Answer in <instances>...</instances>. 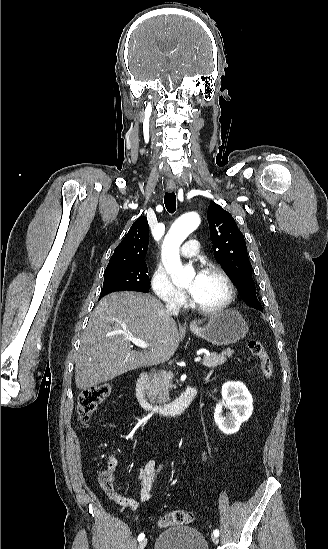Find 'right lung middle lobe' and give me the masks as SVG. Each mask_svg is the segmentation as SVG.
<instances>
[{
	"label": "right lung middle lobe",
	"instance_id": "obj_1",
	"mask_svg": "<svg viewBox=\"0 0 328 549\" xmlns=\"http://www.w3.org/2000/svg\"><path fill=\"white\" fill-rule=\"evenodd\" d=\"M147 272L148 269L145 261L105 271L103 288L99 300L106 294L115 291L147 292L150 289Z\"/></svg>",
	"mask_w": 328,
	"mask_h": 549
}]
</instances>
